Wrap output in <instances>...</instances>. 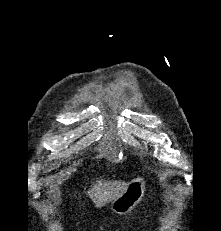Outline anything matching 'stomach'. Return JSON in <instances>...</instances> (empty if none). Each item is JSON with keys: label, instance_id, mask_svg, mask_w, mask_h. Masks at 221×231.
<instances>
[{"label": "stomach", "instance_id": "stomach-1", "mask_svg": "<svg viewBox=\"0 0 221 231\" xmlns=\"http://www.w3.org/2000/svg\"><path fill=\"white\" fill-rule=\"evenodd\" d=\"M146 181L137 177L127 186L125 192L111 202L110 208L113 212L123 215L133 210L142 200L145 193Z\"/></svg>", "mask_w": 221, "mask_h": 231}]
</instances>
